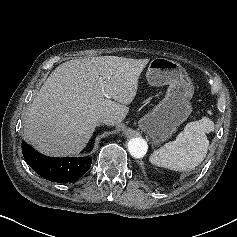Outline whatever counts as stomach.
I'll return each instance as SVG.
<instances>
[{
    "label": "stomach",
    "instance_id": "0dacf381",
    "mask_svg": "<svg viewBox=\"0 0 237 237\" xmlns=\"http://www.w3.org/2000/svg\"><path fill=\"white\" fill-rule=\"evenodd\" d=\"M146 77L152 86L168 85L164 99L139 120V127L159 144L169 139L191 114L194 86L179 63L162 57L150 61Z\"/></svg>",
    "mask_w": 237,
    "mask_h": 237
}]
</instances>
